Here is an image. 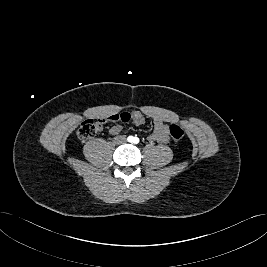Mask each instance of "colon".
<instances>
[{
	"instance_id": "obj_1",
	"label": "colon",
	"mask_w": 267,
	"mask_h": 267,
	"mask_svg": "<svg viewBox=\"0 0 267 267\" xmlns=\"http://www.w3.org/2000/svg\"><path fill=\"white\" fill-rule=\"evenodd\" d=\"M127 119L128 114L126 112L113 114L106 119H87L80 124L76 135L80 140H88L97 135L106 120L124 122ZM168 131L175 142L181 141L185 136V131L177 124H171Z\"/></svg>"
}]
</instances>
